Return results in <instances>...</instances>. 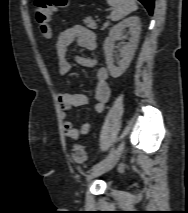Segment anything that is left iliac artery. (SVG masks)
I'll return each instance as SVG.
<instances>
[{
  "instance_id": "obj_1",
  "label": "left iliac artery",
  "mask_w": 188,
  "mask_h": 213,
  "mask_svg": "<svg viewBox=\"0 0 188 213\" xmlns=\"http://www.w3.org/2000/svg\"><path fill=\"white\" fill-rule=\"evenodd\" d=\"M114 154V149L112 148L111 151L109 152V154L107 155V157L102 160L101 162L95 164L93 167H92V171L99 168L100 166H102L105 162H107Z\"/></svg>"
}]
</instances>
